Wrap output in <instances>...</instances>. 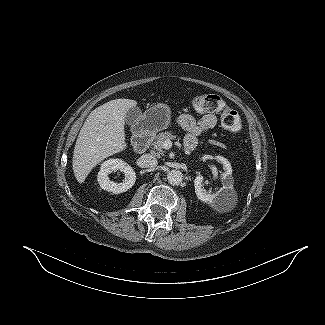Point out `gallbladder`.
Returning a JSON list of instances; mask_svg holds the SVG:
<instances>
[{
    "label": "gallbladder",
    "instance_id": "obj_1",
    "mask_svg": "<svg viewBox=\"0 0 325 325\" xmlns=\"http://www.w3.org/2000/svg\"><path fill=\"white\" fill-rule=\"evenodd\" d=\"M140 115L141 110L138 107H132L128 109L125 115V121L127 124L132 125L139 119Z\"/></svg>",
    "mask_w": 325,
    "mask_h": 325
}]
</instances>
